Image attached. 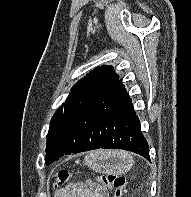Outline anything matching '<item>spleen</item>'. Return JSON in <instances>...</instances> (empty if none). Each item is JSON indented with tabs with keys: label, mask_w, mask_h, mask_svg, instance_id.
Listing matches in <instances>:
<instances>
[{
	"label": "spleen",
	"mask_w": 191,
	"mask_h": 197,
	"mask_svg": "<svg viewBox=\"0 0 191 197\" xmlns=\"http://www.w3.org/2000/svg\"><path fill=\"white\" fill-rule=\"evenodd\" d=\"M124 153V155H126L132 162H133V158H132V156H130L128 153H126V152H123Z\"/></svg>",
	"instance_id": "spleen-1"
}]
</instances>
